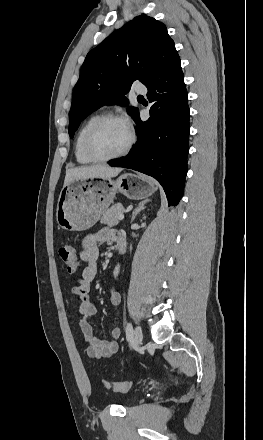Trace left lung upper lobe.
I'll use <instances>...</instances> for the list:
<instances>
[{
  "label": "left lung upper lobe",
  "mask_w": 263,
  "mask_h": 440,
  "mask_svg": "<svg viewBox=\"0 0 263 440\" xmlns=\"http://www.w3.org/2000/svg\"><path fill=\"white\" fill-rule=\"evenodd\" d=\"M178 53L166 26L149 16H137L91 50L82 65L70 109L69 135L80 122L106 104L128 105L125 95L134 81L148 84ZM134 118L139 112L128 107Z\"/></svg>",
  "instance_id": "5c2ea615"
}]
</instances>
